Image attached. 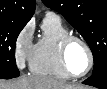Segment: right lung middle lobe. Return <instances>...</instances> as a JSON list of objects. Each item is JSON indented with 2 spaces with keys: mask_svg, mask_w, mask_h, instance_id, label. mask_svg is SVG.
Returning <instances> with one entry per match:
<instances>
[{
  "mask_svg": "<svg viewBox=\"0 0 107 89\" xmlns=\"http://www.w3.org/2000/svg\"><path fill=\"white\" fill-rule=\"evenodd\" d=\"M26 23L0 19V78L19 76L15 61L16 39Z\"/></svg>",
  "mask_w": 107,
  "mask_h": 89,
  "instance_id": "right-lung-middle-lobe-1",
  "label": "right lung middle lobe"
}]
</instances>
